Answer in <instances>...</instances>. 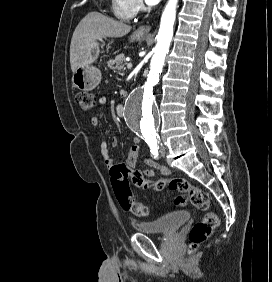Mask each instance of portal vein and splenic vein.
<instances>
[{
    "instance_id": "1",
    "label": "portal vein and splenic vein",
    "mask_w": 272,
    "mask_h": 282,
    "mask_svg": "<svg viewBox=\"0 0 272 282\" xmlns=\"http://www.w3.org/2000/svg\"><path fill=\"white\" fill-rule=\"evenodd\" d=\"M132 68V63H128L127 64V69H131Z\"/></svg>"
}]
</instances>
